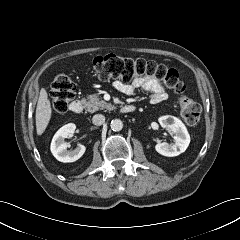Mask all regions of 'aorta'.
Instances as JSON below:
<instances>
[{
	"label": "aorta",
	"mask_w": 240,
	"mask_h": 240,
	"mask_svg": "<svg viewBox=\"0 0 240 240\" xmlns=\"http://www.w3.org/2000/svg\"><path fill=\"white\" fill-rule=\"evenodd\" d=\"M123 128V122L120 119H114L111 121V129L113 131H121Z\"/></svg>",
	"instance_id": "762f6f07"
}]
</instances>
